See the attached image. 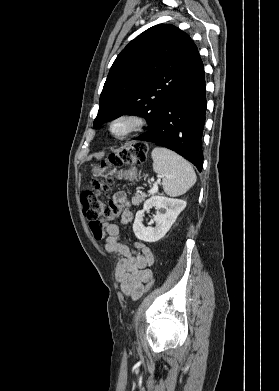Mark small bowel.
Instances as JSON below:
<instances>
[{
    "instance_id": "1",
    "label": "small bowel",
    "mask_w": 279,
    "mask_h": 391,
    "mask_svg": "<svg viewBox=\"0 0 279 391\" xmlns=\"http://www.w3.org/2000/svg\"><path fill=\"white\" fill-rule=\"evenodd\" d=\"M115 204L125 206L121 214V224L132 221L133 213L130 209L129 199L123 191H118L113 196ZM107 238L105 248L110 253L122 255L116 268V278L121 291L136 300L144 294L146 282L152 277L149 267L154 263V256L150 248L144 243L137 242L136 249L122 240L120 226L114 223H106L103 226Z\"/></svg>"
}]
</instances>
